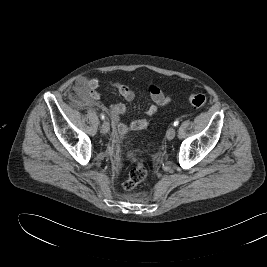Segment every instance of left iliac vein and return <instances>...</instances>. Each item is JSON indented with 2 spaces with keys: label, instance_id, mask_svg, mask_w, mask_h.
I'll use <instances>...</instances> for the list:
<instances>
[{
  "label": "left iliac vein",
  "instance_id": "1",
  "mask_svg": "<svg viewBox=\"0 0 267 267\" xmlns=\"http://www.w3.org/2000/svg\"><path fill=\"white\" fill-rule=\"evenodd\" d=\"M176 130L172 126L167 130L166 137L168 140H172L175 137Z\"/></svg>",
  "mask_w": 267,
  "mask_h": 267
}]
</instances>
